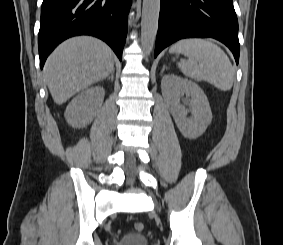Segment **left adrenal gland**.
I'll return each mask as SVG.
<instances>
[{
    "instance_id": "left-adrenal-gland-1",
    "label": "left adrenal gland",
    "mask_w": 283,
    "mask_h": 245,
    "mask_svg": "<svg viewBox=\"0 0 283 245\" xmlns=\"http://www.w3.org/2000/svg\"><path fill=\"white\" fill-rule=\"evenodd\" d=\"M165 69H168V68L166 66H163V69L161 70V73H163Z\"/></svg>"
}]
</instances>
